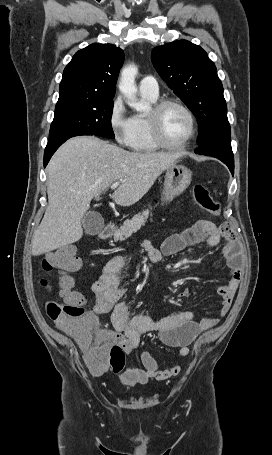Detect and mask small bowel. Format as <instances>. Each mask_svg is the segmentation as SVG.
<instances>
[{
	"label": "small bowel",
	"instance_id": "obj_1",
	"mask_svg": "<svg viewBox=\"0 0 272 455\" xmlns=\"http://www.w3.org/2000/svg\"><path fill=\"white\" fill-rule=\"evenodd\" d=\"M224 239L223 256L229 270L228 282L218 287L222 298L219 316L223 317L230 309L233 297L242 278L239 247L230 225L224 223L217 227L208 220H198L182 232L168 236L157 249L151 241L142 243V249L148 254L152 264L158 263L162 256L174 255L182 250L205 243L208 249L216 247ZM125 255L111 259L102 270L100 278L93 284L94 305L89 312L96 319L97 315L110 314L113 330H100L98 335L111 343L119 344L126 353L131 352L140 344L141 336L148 332H156L160 340L167 346L178 348L181 356L189 354V345L199 334L213 326L219 319L203 318L194 320L192 311L184 310L161 318H152L143 314L132 315L126 302L121 301L125 288L121 284V272L126 264ZM190 291L184 289L180 297H189ZM141 368H122L115 372L124 385L135 386L146 384L150 379L166 380L180 372V366L173 365L161 369L157 361L144 351L141 354Z\"/></svg>",
	"mask_w": 272,
	"mask_h": 455
}]
</instances>
